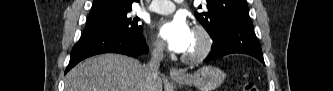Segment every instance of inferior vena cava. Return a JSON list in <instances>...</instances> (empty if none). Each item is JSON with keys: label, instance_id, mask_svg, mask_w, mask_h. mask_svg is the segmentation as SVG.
<instances>
[{"label": "inferior vena cava", "instance_id": "inferior-vena-cava-1", "mask_svg": "<svg viewBox=\"0 0 333 91\" xmlns=\"http://www.w3.org/2000/svg\"><path fill=\"white\" fill-rule=\"evenodd\" d=\"M164 59V45L162 43L155 44L151 59L145 66L146 79L149 83H153L159 79L160 62Z\"/></svg>", "mask_w": 333, "mask_h": 91}]
</instances>
